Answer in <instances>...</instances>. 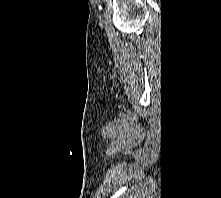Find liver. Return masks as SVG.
<instances>
[{"mask_svg": "<svg viewBox=\"0 0 221 198\" xmlns=\"http://www.w3.org/2000/svg\"><path fill=\"white\" fill-rule=\"evenodd\" d=\"M146 197H147V195H146ZM134 198H135V197H134ZM136 198H145V194H143V193H142V194H139V195L137 194V195H136Z\"/></svg>", "mask_w": 221, "mask_h": 198, "instance_id": "6515ba94", "label": "liver"}]
</instances>
